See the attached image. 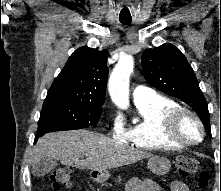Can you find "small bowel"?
<instances>
[{
  "instance_id": "obj_1",
  "label": "small bowel",
  "mask_w": 221,
  "mask_h": 191,
  "mask_svg": "<svg viewBox=\"0 0 221 191\" xmlns=\"http://www.w3.org/2000/svg\"><path fill=\"white\" fill-rule=\"evenodd\" d=\"M169 188L171 191H190L184 182L177 180L172 181ZM127 191H160V189L152 180L133 178L127 185Z\"/></svg>"
}]
</instances>
